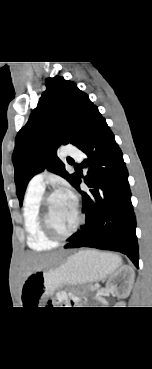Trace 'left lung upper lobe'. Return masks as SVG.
Listing matches in <instances>:
<instances>
[{"label": "left lung upper lobe", "mask_w": 152, "mask_h": 369, "mask_svg": "<svg viewBox=\"0 0 152 369\" xmlns=\"http://www.w3.org/2000/svg\"><path fill=\"white\" fill-rule=\"evenodd\" d=\"M45 84L37 108L15 140L12 160L20 205L29 180L45 168L74 185L77 175L65 171L56 151L61 144L76 146L98 109L72 81L55 76Z\"/></svg>", "instance_id": "1"}]
</instances>
